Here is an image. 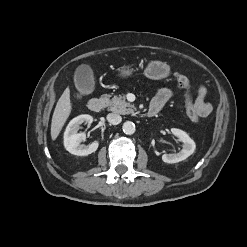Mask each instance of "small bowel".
Masks as SVG:
<instances>
[{"label":"small bowel","instance_id":"1","mask_svg":"<svg viewBox=\"0 0 247 247\" xmlns=\"http://www.w3.org/2000/svg\"><path fill=\"white\" fill-rule=\"evenodd\" d=\"M207 90L204 86L198 89V96L195 102V107L200 111V116H207L212 109L210 103L206 102ZM174 91L170 88H161L150 102L149 108L157 110V113L164 107V105L173 98Z\"/></svg>","mask_w":247,"mask_h":247}]
</instances>
